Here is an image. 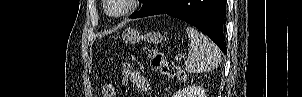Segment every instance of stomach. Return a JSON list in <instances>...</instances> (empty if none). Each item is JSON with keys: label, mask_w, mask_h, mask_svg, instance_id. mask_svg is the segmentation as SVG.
Wrapping results in <instances>:
<instances>
[{"label": "stomach", "mask_w": 302, "mask_h": 97, "mask_svg": "<svg viewBox=\"0 0 302 97\" xmlns=\"http://www.w3.org/2000/svg\"><path fill=\"white\" fill-rule=\"evenodd\" d=\"M122 36L123 39L129 43H136L140 40H144L147 43L159 44L163 41L162 35L158 32H148L145 35H141L139 31L131 28L127 29Z\"/></svg>", "instance_id": "1"}]
</instances>
